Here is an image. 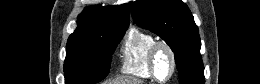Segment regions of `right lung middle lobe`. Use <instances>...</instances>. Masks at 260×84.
<instances>
[{
  "instance_id": "right-lung-middle-lobe-1",
  "label": "right lung middle lobe",
  "mask_w": 260,
  "mask_h": 84,
  "mask_svg": "<svg viewBox=\"0 0 260 84\" xmlns=\"http://www.w3.org/2000/svg\"><path fill=\"white\" fill-rule=\"evenodd\" d=\"M126 28L107 29L89 41L67 43L64 62L66 84H95L110 70L111 55Z\"/></svg>"
}]
</instances>
